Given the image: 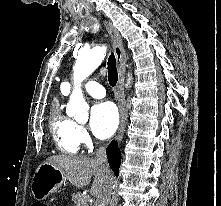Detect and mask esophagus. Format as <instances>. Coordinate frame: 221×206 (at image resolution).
Segmentation results:
<instances>
[{"mask_svg": "<svg viewBox=\"0 0 221 206\" xmlns=\"http://www.w3.org/2000/svg\"><path fill=\"white\" fill-rule=\"evenodd\" d=\"M113 43L114 54L117 61L119 79L117 84V98L120 107V125L116 135V140L121 142L127 124V111L125 109L124 81L126 71V56L122 45L121 37L111 22H104Z\"/></svg>", "mask_w": 221, "mask_h": 206, "instance_id": "1", "label": "esophagus"}]
</instances>
